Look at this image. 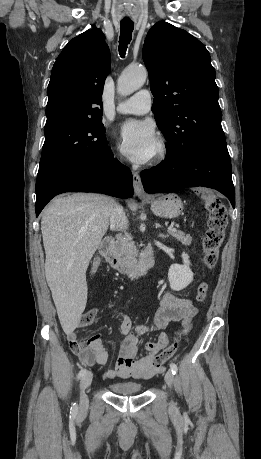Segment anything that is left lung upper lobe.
<instances>
[{"label":"left lung upper lobe","instance_id":"left-lung-upper-lobe-1","mask_svg":"<svg viewBox=\"0 0 261 459\" xmlns=\"http://www.w3.org/2000/svg\"><path fill=\"white\" fill-rule=\"evenodd\" d=\"M143 60L155 97L152 111L168 142L166 156L184 159L198 148L226 143L215 70L205 46L161 21L147 34Z\"/></svg>","mask_w":261,"mask_h":459}]
</instances>
